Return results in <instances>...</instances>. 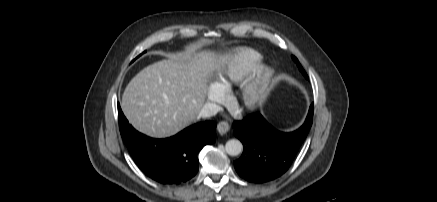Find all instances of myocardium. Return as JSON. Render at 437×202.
I'll use <instances>...</instances> for the list:
<instances>
[{"label": "myocardium", "mask_w": 437, "mask_h": 202, "mask_svg": "<svg viewBox=\"0 0 437 202\" xmlns=\"http://www.w3.org/2000/svg\"><path fill=\"white\" fill-rule=\"evenodd\" d=\"M270 66L257 67L241 84L234 98V105L240 110H253L265 98L273 76Z\"/></svg>", "instance_id": "myocardium-1"}]
</instances>
